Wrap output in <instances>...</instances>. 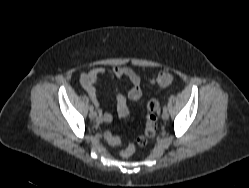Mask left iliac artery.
<instances>
[{
    "label": "left iliac artery",
    "mask_w": 249,
    "mask_h": 188,
    "mask_svg": "<svg viewBox=\"0 0 249 188\" xmlns=\"http://www.w3.org/2000/svg\"><path fill=\"white\" fill-rule=\"evenodd\" d=\"M163 111H167V107L166 106L163 107Z\"/></svg>",
    "instance_id": "obj_1"
}]
</instances>
